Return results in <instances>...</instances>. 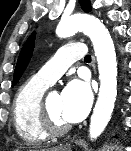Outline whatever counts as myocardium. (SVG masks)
Instances as JSON below:
<instances>
[{"instance_id":"obj_1","label":"myocardium","mask_w":131,"mask_h":151,"mask_svg":"<svg viewBox=\"0 0 131 151\" xmlns=\"http://www.w3.org/2000/svg\"><path fill=\"white\" fill-rule=\"evenodd\" d=\"M48 96L49 94L43 95L40 103V118L42 126L50 136L63 135L71 129V125H61L55 122L48 107Z\"/></svg>"}]
</instances>
